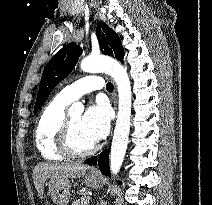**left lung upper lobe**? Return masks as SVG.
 Masks as SVG:
<instances>
[{
	"instance_id": "left-lung-upper-lobe-1",
	"label": "left lung upper lobe",
	"mask_w": 212,
	"mask_h": 205,
	"mask_svg": "<svg viewBox=\"0 0 212 205\" xmlns=\"http://www.w3.org/2000/svg\"><path fill=\"white\" fill-rule=\"evenodd\" d=\"M96 34L103 54L115 56L123 62L124 50L118 35L104 22L96 28ZM82 49L76 44H68L60 49L44 68L39 85L34 112L47 100L55 86L66 78L77 63Z\"/></svg>"
}]
</instances>
